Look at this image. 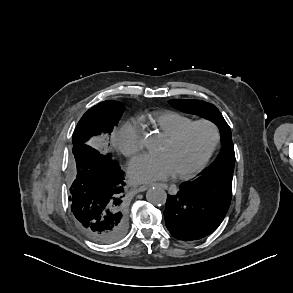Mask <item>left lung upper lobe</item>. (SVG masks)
Segmentation results:
<instances>
[{
  "label": "left lung upper lobe",
  "mask_w": 293,
  "mask_h": 293,
  "mask_svg": "<svg viewBox=\"0 0 293 293\" xmlns=\"http://www.w3.org/2000/svg\"><path fill=\"white\" fill-rule=\"evenodd\" d=\"M169 104L182 112L206 118L219 127L221 140L224 146L222 147L221 152L217 156L214 163L207 170H205L201 176L233 177L235 153L234 146L231 141V130L220 111L213 104L201 100L172 99L169 101Z\"/></svg>",
  "instance_id": "1"
}]
</instances>
